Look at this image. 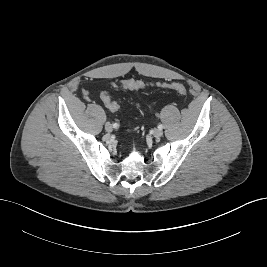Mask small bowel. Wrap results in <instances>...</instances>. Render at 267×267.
<instances>
[{"instance_id": "c3829d8e", "label": "small bowel", "mask_w": 267, "mask_h": 267, "mask_svg": "<svg viewBox=\"0 0 267 267\" xmlns=\"http://www.w3.org/2000/svg\"><path fill=\"white\" fill-rule=\"evenodd\" d=\"M85 97L88 98V93L87 92L85 93Z\"/></svg>"}]
</instances>
